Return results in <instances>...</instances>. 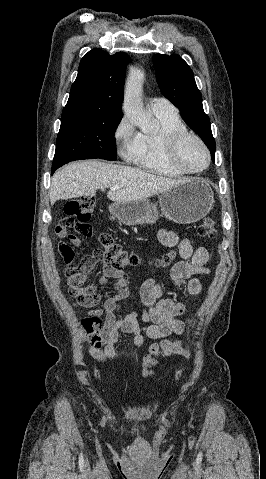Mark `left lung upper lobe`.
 Segmentation results:
<instances>
[{
	"instance_id": "5c2ea615",
	"label": "left lung upper lobe",
	"mask_w": 266,
	"mask_h": 479,
	"mask_svg": "<svg viewBox=\"0 0 266 479\" xmlns=\"http://www.w3.org/2000/svg\"><path fill=\"white\" fill-rule=\"evenodd\" d=\"M153 63L162 94L179 107L182 118L207 145L214 161L216 143L191 68L179 55L155 54Z\"/></svg>"
}]
</instances>
